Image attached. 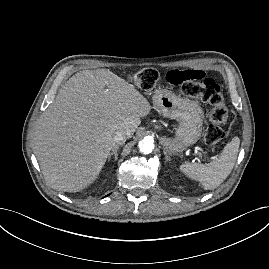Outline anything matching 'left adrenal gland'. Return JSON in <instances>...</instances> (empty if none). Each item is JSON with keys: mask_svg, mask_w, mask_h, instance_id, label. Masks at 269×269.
Masks as SVG:
<instances>
[{"mask_svg": "<svg viewBox=\"0 0 269 269\" xmlns=\"http://www.w3.org/2000/svg\"><path fill=\"white\" fill-rule=\"evenodd\" d=\"M164 154H165V160H166V162L170 161V157L167 155V152L166 151H164Z\"/></svg>", "mask_w": 269, "mask_h": 269, "instance_id": "obj_1", "label": "left adrenal gland"}]
</instances>
